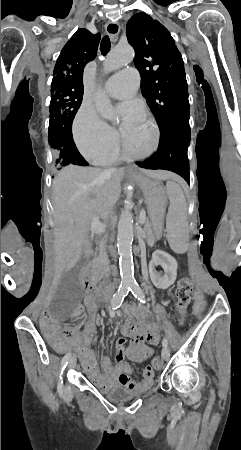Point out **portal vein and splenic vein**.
I'll return each mask as SVG.
<instances>
[{
    "label": "portal vein and splenic vein",
    "instance_id": "1",
    "mask_svg": "<svg viewBox=\"0 0 241 450\" xmlns=\"http://www.w3.org/2000/svg\"><path fill=\"white\" fill-rule=\"evenodd\" d=\"M145 208H142L140 211V224L145 225L146 221L145 218H147V213ZM105 224H100V222H98V220H96V222H92L91 224V232H95V234H102V232H105Z\"/></svg>",
    "mask_w": 241,
    "mask_h": 450
}]
</instances>
